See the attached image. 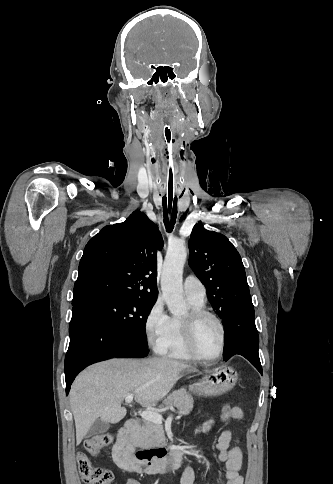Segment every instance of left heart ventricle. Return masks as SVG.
I'll return each mask as SVG.
<instances>
[{
    "label": "left heart ventricle",
    "instance_id": "left-heart-ventricle-1",
    "mask_svg": "<svg viewBox=\"0 0 333 484\" xmlns=\"http://www.w3.org/2000/svg\"><path fill=\"white\" fill-rule=\"evenodd\" d=\"M196 346L201 355L213 357L218 352L220 346V330L210 318H205L199 322L196 328Z\"/></svg>",
    "mask_w": 333,
    "mask_h": 484
}]
</instances>
